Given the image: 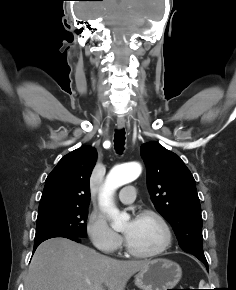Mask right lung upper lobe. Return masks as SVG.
Returning a JSON list of instances; mask_svg holds the SVG:
<instances>
[{"mask_svg":"<svg viewBox=\"0 0 236 290\" xmlns=\"http://www.w3.org/2000/svg\"><path fill=\"white\" fill-rule=\"evenodd\" d=\"M96 158L97 152L90 146L65 155L45 181L39 209L51 206H88L90 175Z\"/></svg>","mask_w":236,"mask_h":290,"instance_id":"1","label":"right lung upper lobe"}]
</instances>
